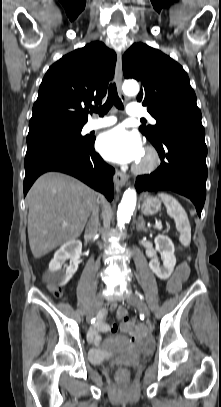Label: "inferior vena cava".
I'll list each match as a JSON object with an SVG mask.
<instances>
[{
  "label": "inferior vena cava",
  "instance_id": "602c4592",
  "mask_svg": "<svg viewBox=\"0 0 221 407\" xmlns=\"http://www.w3.org/2000/svg\"><path fill=\"white\" fill-rule=\"evenodd\" d=\"M99 226L98 206H94L91 212V217L86 225L85 233L90 237H94L98 232Z\"/></svg>",
  "mask_w": 221,
  "mask_h": 407
}]
</instances>
